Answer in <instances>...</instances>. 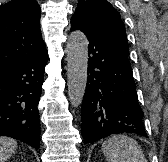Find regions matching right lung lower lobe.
<instances>
[{
    "mask_svg": "<svg viewBox=\"0 0 168 162\" xmlns=\"http://www.w3.org/2000/svg\"><path fill=\"white\" fill-rule=\"evenodd\" d=\"M47 60L46 51L0 71V136L21 140L36 149L40 147L37 105Z\"/></svg>",
    "mask_w": 168,
    "mask_h": 162,
    "instance_id": "right-lung-lower-lobe-1",
    "label": "right lung lower lobe"
}]
</instances>
